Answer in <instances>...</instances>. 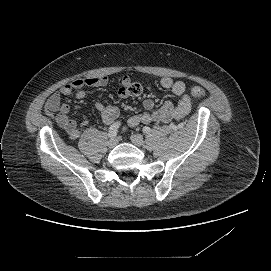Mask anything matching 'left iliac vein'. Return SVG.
Masks as SVG:
<instances>
[{"mask_svg": "<svg viewBox=\"0 0 271 271\" xmlns=\"http://www.w3.org/2000/svg\"><path fill=\"white\" fill-rule=\"evenodd\" d=\"M130 140L134 145L138 147H141L144 144L143 137L140 134H132L130 136Z\"/></svg>", "mask_w": 271, "mask_h": 271, "instance_id": "4c4485c4", "label": "left iliac vein"}]
</instances>
